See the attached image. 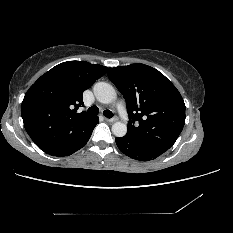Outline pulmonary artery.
Here are the masks:
<instances>
[{"mask_svg": "<svg viewBox=\"0 0 233 233\" xmlns=\"http://www.w3.org/2000/svg\"><path fill=\"white\" fill-rule=\"evenodd\" d=\"M117 109H118V111L120 112V114L122 115V119H123L124 123H126V124L131 123V118H130V116L125 112L124 105H123L121 102L118 103Z\"/></svg>", "mask_w": 233, "mask_h": 233, "instance_id": "pulmonary-artery-1", "label": "pulmonary artery"}]
</instances>
